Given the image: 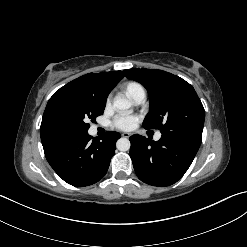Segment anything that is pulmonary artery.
<instances>
[{
    "label": "pulmonary artery",
    "instance_id": "1",
    "mask_svg": "<svg viewBox=\"0 0 247 247\" xmlns=\"http://www.w3.org/2000/svg\"><path fill=\"white\" fill-rule=\"evenodd\" d=\"M133 100L136 104H142L146 100V94L144 90L139 91L134 97ZM161 138V133H157L155 135V140H159Z\"/></svg>",
    "mask_w": 247,
    "mask_h": 247
}]
</instances>
